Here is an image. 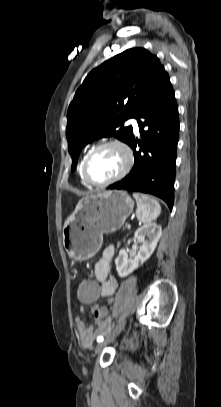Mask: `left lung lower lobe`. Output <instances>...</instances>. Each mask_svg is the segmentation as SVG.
Masks as SVG:
<instances>
[{
    "instance_id": "left-lung-lower-lobe-1",
    "label": "left lung lower lobe",
    "mask_w": 221,
    "mask_h": 407,
    "mask_svg": "<svg viewBox=\"0 0 221 407\" xmlns=\"http://www.w3.org/2000/svg\"><path fill=\"white\" fill-rule=\"evenodd\" d=\"M137 119L142 142L133 136L128 144L134 151V167L129 175L108 189L149 193L163 199L172 210L179 116L168 75L162 79ZM137 143L141 148L138 152L135 150Z\"/></svg>"
}]
</instances>
